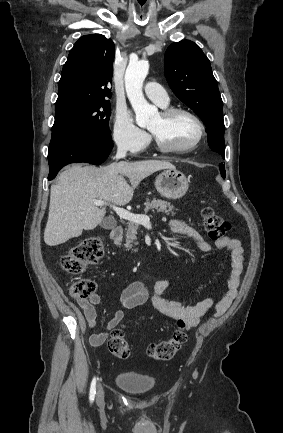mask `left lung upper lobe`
<instances>
[{
  "label": "left lung upper lobe",
  "instance_id": "5c2ea615",
  "mask_svg": "<svg viewBox=\"0 0 283 433\" xmlns=\"http://www.w3.org/2000/svg\"><path fill=\"white\" fill-rule=\"evenodd\" d=\"M164 63L170 88L202 119L209 146L224 154L223 102L210 61L194 42L182 40L167 48Z\"/></svg>",
  "mask_w": 283,
  "mask_h": 433
}]
</instances>
